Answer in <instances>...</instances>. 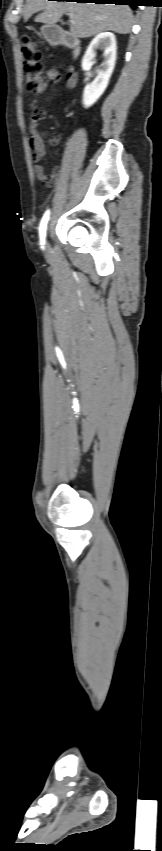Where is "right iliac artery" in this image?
I'll list each match as a JSON object with an SVG mask.
<instances>
[{
  "instance_id": "1",
  "label": "right iliac artery",
  "mask_w": 162,
  "mask_h": 851,
  "mask_svg": "<svg viewBox=\"0 0 162 851\" xmlns=\"http://www.w3.org/2000/svg\"><path fill=\"white\" fill-rule=\"evenodd\" d=\"M49 215H50V211L48 210L44 214V216L41 220V223H40V229H39L40 230V244L42 245V248H44L43 245L45 243V236H46V229H47V223H48V220H49Z\"/></svg>"
}]
</instances>
